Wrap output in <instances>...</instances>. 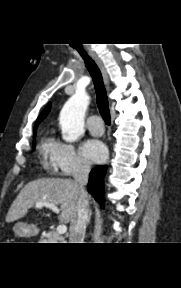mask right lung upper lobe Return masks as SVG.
<instances>
[{"instance_id": "right-lung-upper-lobe-1", "label": "right lung upper lobe", "mask_w": 181, "mask_h": 288, "mask_svg": "<svg viewBox=\"0 0 181 288\" xmlns=\"http://www.w3.org/2000/svg\"><path fill=\"white\" fill-rule=\"evenodd\" d=\"M50 106L51 104L49 103L46 108L42 111V113L39 115V117L37 118V121H36V124H35V127H34V137L36 135V128H37V125L47 116V114L49 113L50 111Z\"/></svg>"}]
</instances>
